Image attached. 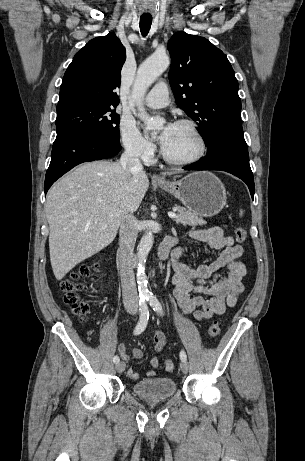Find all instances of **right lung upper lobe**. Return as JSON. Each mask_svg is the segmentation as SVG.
Masks as SVG:
<instances>
[{
	"label": "right lung upper lobe",
	"instance_id": "cb5924a9",
	"mask_svg": "<svg viewBox=\"0 0 305 461\" xmlns=\"http://www.w3.org/2000/svg\"><path fill=\"white\" fill-rule=\"evenodd\" d=\"M126 49L113 32L90 40L68 66L57 107L80 102L116 106Z\"/></svg>",
	"mask_w": 305,
	"mask_h": 461
}]
</instances>
